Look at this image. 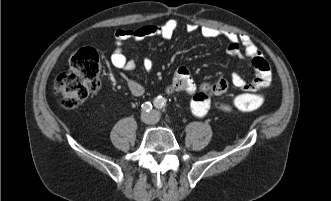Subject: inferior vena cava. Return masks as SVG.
<instances>
[{"mask_svg":"<svg viewBox=\"0 0 331 201\" xmlns=\"http://www.w3.org/2000/svg\"><path fill=\"white\" fill-rule=\"evenodd\" d=\"M144 122H146V123H155L156 120H144Z\"/></svg>","mask_w":331,"mask_h":201,"instance_id":"obj_1","label":"inferior vena cava"}]
</instances>
